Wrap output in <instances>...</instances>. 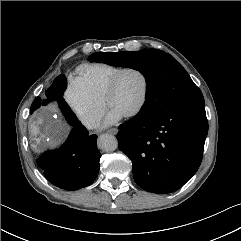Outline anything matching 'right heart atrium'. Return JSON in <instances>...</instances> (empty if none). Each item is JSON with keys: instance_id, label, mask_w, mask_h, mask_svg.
Masks as SVG:
<instances>
[{"instance_id": "right-heart-atrium-1", "label": "right heart atrium", "mask_w": 241, "mask_h": 241, "mask_svg": "<svg viewBox=\"0 0 241 241\" xmlns=\"http://www.w3.org/2000/svg\"><path fill=\"white\" fill-rule=\"evenodd\" d=\"M65 100L76 118L87 128H95L101 120L104 105L95 99L78 79L70 80Z\"/></svg>"}]
</instances>
